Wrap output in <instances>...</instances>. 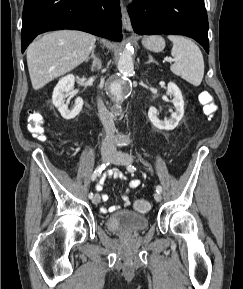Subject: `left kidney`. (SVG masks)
I'll return each mask as SVG.
<instances>
[{"instance_id": "5707ae66", "label": "left kidney", "mask_w": 243, "mask_h": 289, "mask_svg": "<svg viewBox=\"0 0 243 289\" xmlns=\"http://www.w3.org/2000/svg\"><path fill=\"white\" fill-rule=\"evenodd\" d=\"M167 95L173 96V105L175 112L171 114L170 119L160 120L157 116V110L155 107H150L148 111V117L151 123L158 129L161 130H173L182 119L184 115V100L182 93L175 83H168Z\"/></svg>"}]
</instances>
